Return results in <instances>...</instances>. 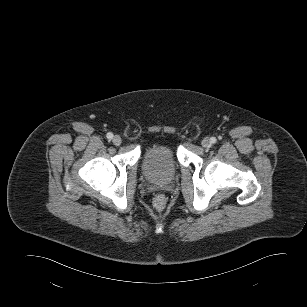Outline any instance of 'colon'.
<instances>
[{
	"label": "colon",
	"mask_w": 307,
	"mask_h": 307,
	"mask_svg": "<svg viewBox=\"0 0 307 307\" xmlns=\"http://www.w3.org/2000/svg\"><path fill=\"white\" fill-rule=\"evenodd\" d=\"M166 204V199L163 195L159 194L154 198V206L157 209H163Z\"/></svg>",
	"instance_id": "obj_1"
}]
</instances>
